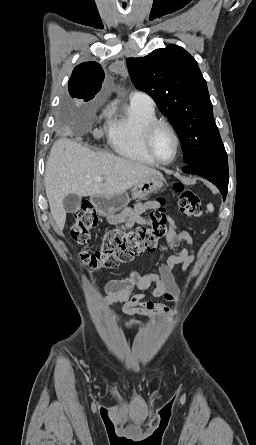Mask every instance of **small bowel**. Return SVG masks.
I'll return each mask as SVG.
<instances>
[{
	"instance_id": "obj_1",
	"label": "small bowel",
	"mask_w": 256,
	"mask_h": 445,
	"mask_svg": "<svg viewBox=\"0 0 256 445\" xmlns=\"http://www.w3.org/2000/svg\"><path fill=\"white\" fill-rule=\"evenodd\" d=\"M157 201H148L136 205L134 210L128 214V218L121 224L123 229L132 227L135 223H146L141 214L148 209L158 207ZM186 242L193 245V238L189 232L179 230L173 223L170 224L167 233V246L173 252L171 256L163 258L157 265V271L148 272L140 276L136 271H132L128 277L111 280L106 284L108 293L107 303H122V311L127 315H143L147 317H168L172 310L163 304L144 301L146 292L153 296L163 297L165 300L174 301L179 296V289L176 285L172 270L175 266L181 265L185 274L189 266L195 259L194 250L180 248V244ZM151 287H154L150 290ZM134 292H137L133 295ZM141 326L138 319H131L128 322L120 323L124 330H133Z\"/></svg>"
}]
</instances>
